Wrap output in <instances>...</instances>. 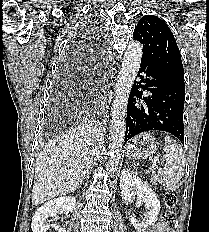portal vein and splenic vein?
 <instances>
[{
  "instance_id": "portal-vein-and-splenic-vein-1",
  "label": "portal vein and splenic vein",
  "mask_w": 209,
  "mask_h": 232,
  "mask_svg": "<svg viewBox=\"0 0 209 232\" xmlns=\"http://www.w3.org/2000/svg\"><path fill=\"white\" fill-rule=\"evenodd\" d=\"M161 160H164V158L161 159ZM158 161H159L158 157H154V158H153V163H156V162H158Z\"/></svg>"
}]
</instances>
